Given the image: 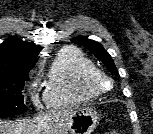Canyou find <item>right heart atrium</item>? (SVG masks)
I'll use <instances>...</instances> for the list:
<instances>
[{
    "label": "right heart atrium",
    "instance_id": "right-heart-atrium-1",
    "mask_svg": "<svg viewBox=\"0 0 153 134\" xmlns=\"http://www.w3.org/2000/svg\"><path fill=\"white\" fill-rule=\"evenodd\" d=\"M31 98L35 105H39V96L34 91L31 92Z\"/></svg>",
    "mask_w": 153,
    "mask_h": 134
}]
</instances>
